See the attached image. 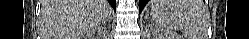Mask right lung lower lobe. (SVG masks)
I'll return each instance as SVG.
<instances>
[{"mask_svg":"<svg viewBox=\"0 0 249 39\" xmlns=\"http://www.w3.org/2000/svg\"><path fill=\"white\" fill-rule=\"evenodd\" d=\"M111 6L116 10V0H108Z\"/></svg>","mask_w":249,"mask_h":39,"instance_id":"obj_1","label":"right lung lower lobe"}]
</instances>
